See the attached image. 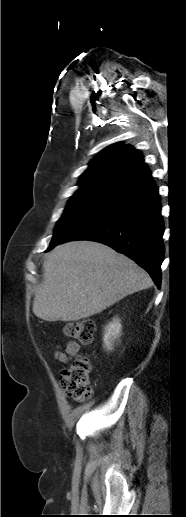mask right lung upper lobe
Wrapping results in <instances>:
<instances>
[{
  "label": "right lung upper lobe",
  "instance_id": "1",
  "mask_svg": "<svg viewBox=\"0 0 186 517\" xmlns=\"http://www.w3.org/2000/svg\"><path fill=\"white\" fill-rule=\"evenodd\" d=\"M80 188L72 197L119 201L154 185L142 155L131 145L115 143L103 149L81 175Z\"/></svg>",
  "mask_w": 186,
  "mask_h": 517
}]
</instances>
